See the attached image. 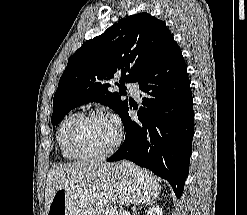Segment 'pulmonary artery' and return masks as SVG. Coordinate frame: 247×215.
Here are the masks:
<instances>
[{
    "instance_id": "obj_1",
    "label": "pulmonary artery",
    "mask_w": 247,
    "mask_h": 215,
    "mask_svg": "<svg viewBox=\"0 0 247 215\" xmlns=\"http://www.w3.org/2000/svg\"><path fill=\"white\" fill-rule=\"evenodd\" d=\"M127 88L132 96L138 97L140 94V88L136 83H128Z\"/></svg>"
}]
</instances>
